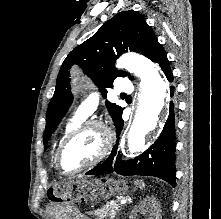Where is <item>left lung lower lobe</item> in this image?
I'll use <instances>...</instances> for the list:
<instances>
[{
    "label": "left lung lower lobe",
    "mask_w": 221,
    "mask_h": 219,
    "mask_svg": "<svg viewBox=\"0 0 221 219\" xmlns=\"http://www.w3.org/2000/svg\"><path fill=\"white\" fill-rule=\"evenodd\" d=\"M152 62H157L169 82H173V75L169 66L166 53L160 45L155 50ZM171 97L174 93L170 87ZM173 103H170V113L165 126L155 143L144 153L134 159L122 161L120 152L117 153L118 140L107 160L98 167L88 171L86 175H104L116 172L123 176H155L175 187V118ZM124 122L117 125V137L121 133Z\"/></svg>",
    "instance_id": "0a47b994"
}]
</instances>
